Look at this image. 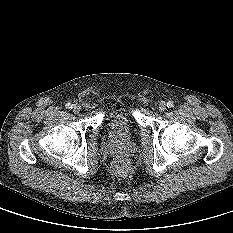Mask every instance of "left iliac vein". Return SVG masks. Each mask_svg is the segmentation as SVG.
Here are the masks:
<instances>
[{"label":"left iliac vein","instance_id":"left-iliac-vein-1","mask_svg":"<svg viewBox=\"0 0 233 233\" xmlns=\"http://www.w3.org/2000/svg\"><path fill=\"white\" fill-rule=\"evenodd\" d=\"M166 109H167V104H166V102H164V101L160 102V103H159V110H160L161 112H164Z\"/></svg>","mask_w":233,"mask_h":233}]
</instances>
